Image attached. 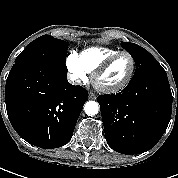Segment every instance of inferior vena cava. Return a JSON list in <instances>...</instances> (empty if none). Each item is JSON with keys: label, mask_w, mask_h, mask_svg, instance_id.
I'll list each match as a JSON object with an SVG mask.
<instances>
[{"label": "inferior vena cava", "mask_w": 178, "mask_h": 178, "mask_svg": "<svg viewBox=\"0 0 178 178\" xmlns=\"http://www.w3.org/2000/svg\"><path fill=\"white\" fill-rule=\"evenodd\" d=\"M69 80L75 85L81 84V81L79 79L73 77L72 75L69 76Z\"/></svg>", "instance_id": "602c4592"}]
</instances>
